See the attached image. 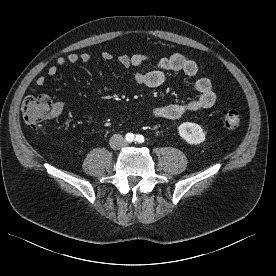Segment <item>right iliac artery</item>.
<instances>
[{"mask_svg":"<svg viewBox=\"0 0 276 276\" xmlns=\"http://www.w3.org/2000/svg\"><path fill=\"white\" fill-rule=\"evenodd\" d=\"M125 139L127 142H133L135 140V135L133 133H127Z\"/></svg>","mask_w":276,"mask_h":276,"instance_id":"82829eb1","label":"right iliac artery"}]
</instances>
